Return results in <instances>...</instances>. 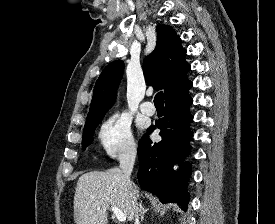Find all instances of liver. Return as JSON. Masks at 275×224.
Returning a JSON list of instances; mask_svg holds the SVG:
<instances>
[{
    "mask_svg": "<svg viewBox=\"0 0 275 224\" xmlns=\"http://www.w3.org/2000/svg\"><path fill=\"white\" fill-rule=\"evenodd\" d=\"M133 197H139V190L125 180L119 168L85 173L79 177L75 190L74 222L107 224L110 206L120 209L131 222L135 217Z\"/></svg>",
    "mask_w": 275,
    "mask_h": 224,
    "instance_id": "liver-1",
    "label": "liver"
}]
</instances>
